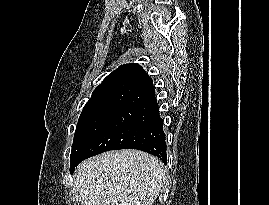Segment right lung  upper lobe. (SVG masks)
<instances>
[{
  "mask_svg": "<svg viewBox=\"0 0 269 205\" xmlns=\"http://www.w3.org/2000/svg\"><path fill=\"white\" fill-rule=\"evenodd\" d=\"M155 97L153 81L137 63L124 64L97 86L85 107L118 105L126 108Z\"/></svg>",
  "mask_w": 269,
  "mask_h": 205,
  "instance_id": "right-lung-upper-lobe-1",
  "label": "right lung upper lobe"
}]
</instances>
